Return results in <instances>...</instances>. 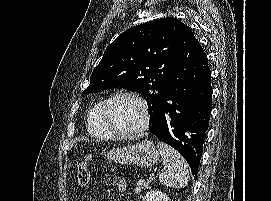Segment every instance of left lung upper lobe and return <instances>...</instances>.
Returning a JSON list of instances; mask_svg holds the SVG:
<instances>
[{"label": "left lung upper lobe", "mask_w": 271, "mask_h": 201, "mask_svg": "<svg viewBox=\"0 0 271 201\" xmlns=\"http://www.w3.org/2000/svg\"><path fill=\"white\" fill-rule=\"evenodd\" d=\"M168 17L132 27L105 50L84 94L125 88L148 98L149 126L154 125L173 72L182 29Z\"/></svg>", "instance_id": "5c2ea615"}]
</instances>
